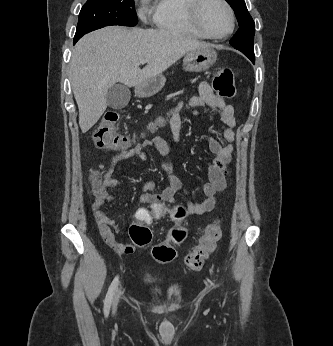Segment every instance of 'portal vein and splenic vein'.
Listing matches in <instances>:
<instances>
[{"instance_id": "obj_1", "label": "portal vein and splenic vein", "mask_w": 333, "mask_h": 346, "mask_svg": "<svg viewBox=\"0 0 333 346\" xmlns=\"http://www.w3.org/2000/svg\"><path fill=\"white\" fill-rule=\"evenodd\" d=\"M147 62V60H142L140 63H146Z\"/></svg>"}]
</instances>
